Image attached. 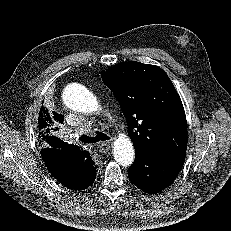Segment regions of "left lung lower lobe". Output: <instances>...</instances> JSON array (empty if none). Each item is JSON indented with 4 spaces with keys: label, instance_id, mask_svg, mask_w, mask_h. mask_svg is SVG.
I'll list each match as a JSON object with an SVG mask.
<instances>
[{
    "label": "left lung lower lobe",
    "instance_id": "1",
    "mask_svg": "<svg viewBox=\"0 0 231 231\" xmlns=\"http://www.w3.org/2000/svg\"><path fill=\"white\" fill-rule=\"evenodd\" d=\"M135 152L134 164L128 169L129 179L148 194H156L167 188L174 181L185 161V158H162L145 149Z\"/></svg>",
    "mask_w": 231,
    "mask_h": 231
}]
</instances>
